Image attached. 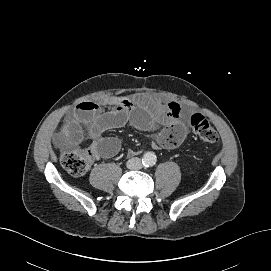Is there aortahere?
I'll list each match as a JSON object with an SVG mask.
<instances>
[{
	"label": "aorta",
	"mask_w": 271,
	"mask_h": 271,
	"mask_svg": "<svg viewBox=\"0 0 271 271\" xmlns=\"http://www.w3.org/2000/svg\"><path fill=\"white\" fill-rule=\"evenodd\" d=\"M142 161L144 165L152 166L156 162V157L153 153H146L144 154Z\"/></svg>",
	"instance_id": "aorta-1"
}]
</instances>
